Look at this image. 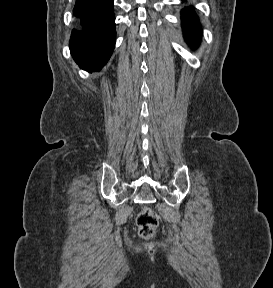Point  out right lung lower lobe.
I'll return each instance as SVG.
<instances>
[{
  "label": "right lung lower lobe",
  "instance_id": "98d812e1",
  "mask_svg": "<svg viewBox=\"0 0 273 288\" xmlns=\"http://www.w3.org/2000/svg\"><path fill=\"white\" fill-rule=\"evenodd\" d=\"M70 51L81 69L100 70L109 60L116 40L113 0H76Z\"/></svg>",
  "mask_w": 273,
  "mask_h": 288
}]
</instances>
